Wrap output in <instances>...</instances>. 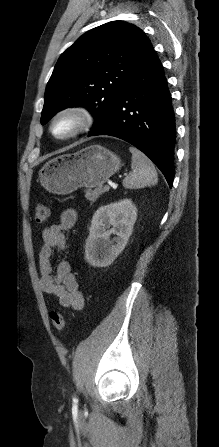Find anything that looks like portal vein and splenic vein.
Returning a JSON list of instances; mask_svg holds the SVG:
<instances>
[{"label": "portal vein and splenic vein", "mask_w": 219, "mask_h": 447, "mask_svg": "<svg viewBox=\"0 0 219 447\" xmlns=\"http://www.w3.org/2000/svg\"><path fill=\"white\" fill-rule=\"evenodd\" d=\"M109 189H110V186H109L108 184H105V185L103 186V190H104V191H109Z\"/></svg>", "instance_id": "portal-vein-and-splenic-vein-1"}]
</instances>
